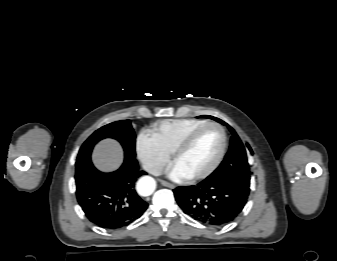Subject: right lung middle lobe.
<instances>
[{
  "instance_id": "right-lung-middle-lobe-1",
  "label": "right lung middle lobe",
  "mask_w": 337,
  "mask_h": 261,
  "mask_svg": "<svg viewBox=\"0 0 337 261\" xmlns=\"http://www.w3.org/2000/svg\"><path fill=\"white\" fill-rule=\"evenodd\" d=\"M104 138L116 139L123 146L125 154L135 157V132L130 120H121L99 128L83 143L77 156L76 167L90 160L94 145Z\"/></svg>"
}]
</instances>
